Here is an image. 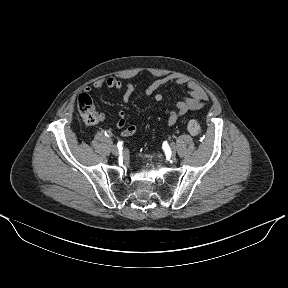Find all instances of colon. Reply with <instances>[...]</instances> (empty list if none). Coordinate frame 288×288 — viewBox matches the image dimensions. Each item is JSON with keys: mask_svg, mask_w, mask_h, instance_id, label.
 <instances>
[{"mask_svg": "<svg viewBox=\"0 0 288 288\" xmlns=\"http://www.w3.org/2000/svg\"><path fill=\"white\" fill-rule=\"evenodd\" d=\"M78 111L83 120L88 124H97L101 121V115L96 111L91 97L88 94H81L77 101ZM188 131L195 136L201 135L203 130L199 122L190 119L187 123Z\"/></svg>", "mask_w": 288, "mask_h": 288, "instance_id": "5ec220e1", "label": "colon"}]
</instances>
